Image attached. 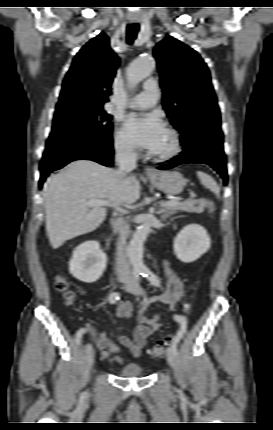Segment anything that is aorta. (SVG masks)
Instances as JSON below:
<instances>
[{"mask_svg":"<svg viewBox=\"0 0 273 430\" xmlns=\"http://www.w3.org/2000/svg\"><path fill=\"white\" fill-rule=\"evenodd\" d=\"M154 61L150 56L140 57L134 60L128 68V80L131 85H135L144 80L152 73ZM151 225L148 222L140 225L134 232L127 247V256L135 273L146 271L143 262V245L150 233Z\"/></svg>","mask_w":273,"mask_h":430,"instance_id":"aorta-1","label":"aorta"}]
</instances>
